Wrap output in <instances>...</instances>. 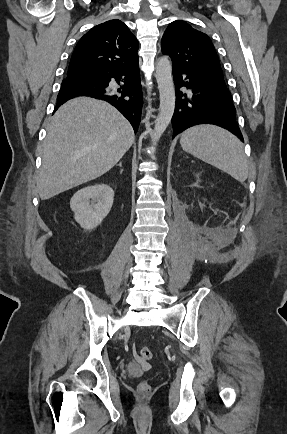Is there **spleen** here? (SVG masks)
I'll use <instances>...</instances> for the list:
<instances>
[{
	"instance_id": "3e777b00",
	"label": "spleen",
	"mask_w": 287,
	"mask_h": 434,
	"mask_svg": "<svg viewBox=\"0 0 287 434\" xmlns=\"http://www.w3.org/2000/svg\"><path fill=\"white\" fill-rule=\"evenodd\" d=\"M184 151L217 167L243 183L249 166L242 142L229 131L215 125H198L184 131L180 139Z\"/></svg>"
}]
</instances>
